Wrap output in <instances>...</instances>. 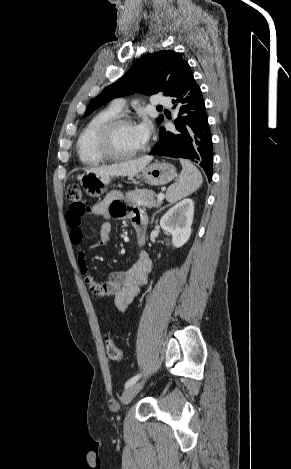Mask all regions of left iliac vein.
Here are the masks:
<instances>
[{
    "label": "left iliac vein",
    "instance_id": "left-iliac-vein-1",
    "mask_svg": "<svg viewBox=\"0 0 291 469\" xmlns=\"http://www.w3.org/2000/svg\"><path fill=\"white\" fill-rule=\"evenodd\" d=\"M142 386L143 383L140 382L127 387L121 398L122 404L125 406L128 405L136 396V394L141 390Z\"/></svg>",
    "mask_w": 291,
    "mask_h": 469
}]
</instances>
